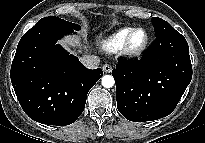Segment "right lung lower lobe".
<instances>
[{
	"label": "right lung lower lobe",
	"instance_id": "right-lung-lower-lobe-1",
	"mask_svg": "<svg viewBox=\"0 0 205 143\" xmlns=\"http://www.w3.org/2000/svg\"><path fill=\"white\" fill-rule=\"evenodd\" d=\"M74 29L39 20L20 39L11 66V82L24 112L42 124L65 126L85 108L87 93L103 71L89 70L56 41Z\"/></svg>",
	"mask_w": 205,
	"mask_h": 143
}]
</instances>
